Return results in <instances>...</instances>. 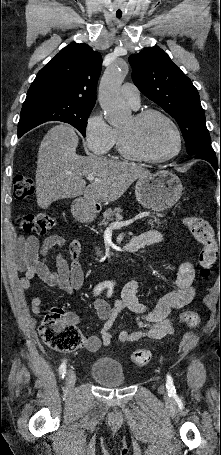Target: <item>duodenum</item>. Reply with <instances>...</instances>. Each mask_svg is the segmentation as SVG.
<instances>
[{"label":"duodenum","instance_id":"duodenum-1","mask_svg":"<svg viewBox=\"0 0 221 455\" xmlns=\"http://www.w3.org/2000/svg\"><path fill=\"white\" fill-rule=\"evenodd\" d=\"M97 210L98 209H96L95 207H92V208H90L89 211L92 213H95ZM75 212H76V216L78 219L85 220L87 218V213H86V210L84 209L83 205L77 206L75 208ZM143 246H144V244L137 237H134L124 246V249L127 252H134V251L141 249Z\"/></svg>","mask_w":221,"mask_h":455}]
</instances>
